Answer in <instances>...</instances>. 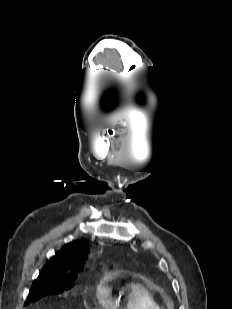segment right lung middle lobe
Returning a JSON list of instances; mask_svg holds the SVG:
<instances>
[{
    "instance_id": "obj_1",
    "label": "right lung middle lobe",
    "mask_w": 232,
    "mask_h": 309,
    "mask_svg": "<svg viewBox=\"0 0 232 309\" xmlns=\"http://www.w3.org/2000/svg\"><path fill=\"white\" fill-rule=\"evenodd\" d=\"M72 281H53L48 279H42L34 281L32 285L25 305L36 302L40 298L50 294L61 293L64 290L70 288Z\"/></svg>"
}]
</instances>
